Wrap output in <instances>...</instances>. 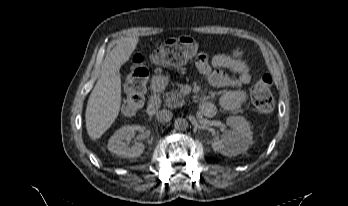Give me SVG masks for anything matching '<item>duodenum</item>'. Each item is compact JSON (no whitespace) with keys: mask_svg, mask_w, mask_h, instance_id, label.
Masks as SVG:
<instances>
[{"mask_svg":"<svg viewBox=\"0 0 348 206\" xmlns=\"http://www.w3.org/2000/svg\"><path fill=\"white\" fill-rule=\"evenodd\" d=\"M153 94L149 100V103L147 105V112L149 115H154L161 104V99H160V91H161V86L158 84V82H154L153 86ZM200 111L202 114L206 115V116H211L215 113V107L213 106V104L205 102L200 106Z\"/></svg>","mask_w":348,"mask_h":206,"instance_id":"410a0bca","label":"duodenum"}]
</instances>
